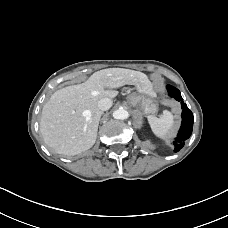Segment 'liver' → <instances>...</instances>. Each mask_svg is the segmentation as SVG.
Here are the masks:
<instances>
[{
    "label": "liver",
    "instance_id": "6515ba94",
    "mask_svg": "<svg viewBox=\"0 0 228 228\" xmlns=\"http://www.w3.org/2000/svg\"><path fill=\"white\" fill-rule=\"evenodd\" d=\"M127 85H134L142 94L153 93L146 74L124 68L100 70L82 84L53 93L42 109L40 132L44 142L64 156L90 149L96 141L102 115L98 101L116 97L115 89Z\"/></svg>",
    "mask_w": 228,
    "mask_h": 228
}]
</instances>
